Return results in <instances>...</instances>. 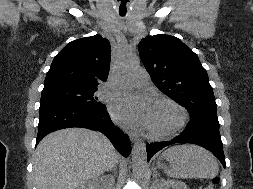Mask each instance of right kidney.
<instances>
[{"instance_id": "1", "label": "right kidney", "mask_w": 253, "mask_h": 189, "mask_svg": "<svg viewBox=\"0 0 253 189\" xmlns=\"http://www.w3.org/2000/svg\"><path fill=\"white\" fill-rule=\"evenodd\" d=\"M109 175L102 176L100 178H95L89 180L88 182L81 184L77 189H114V180L113 177L109 181Z\"/></svg>"}]
</instances>
